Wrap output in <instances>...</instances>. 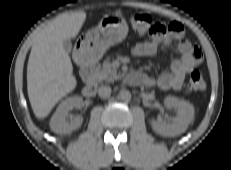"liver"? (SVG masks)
I'll list each match as a JSON object with an SVG mask.
<instances>
[{
	"instance_id": "obj_1",
	"label": "liver",
	"mask_w": 231,
	"mask_h": 170,
	"mask_svg": "<svg viewBox=\"0 0 231 170\" xmlns=\"http://www.w3.org/2000/svg\"><path fill=\"white\" fill-rule=\"evenodd\" d=\"M85 20L84 11L62 14L33 39L27 65V91L32 110L39 119L47 117L58 101L77 86L63 41L75 38Z\"/></svg>"
}]
</instances>
